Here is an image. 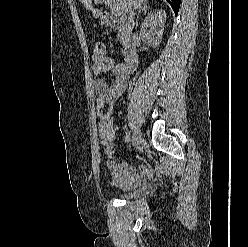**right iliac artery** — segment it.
Returning a JSON list of instances; mask_svg holds the SVG:
<instances>
[{"instance_id":"right-iliac-artery-1","label":"right iliac artery","mask_w":248,"mask_h":247,"mask_svg":"<svg viewBox=\"0 0 248 247\" xmlns=\"http://www.w3.org/2000/svg\"><path fill=\"white\" fill-rule=\"evenodd\" d=\"M131 141V132L127 131L125 135V142L129 143Z\"/></svg>"}]
</instances>
